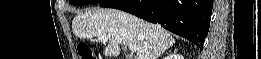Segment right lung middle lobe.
<instances>
[{"label": "right lung middle lobe", "mask_w": 261, "mask_h": 59, "mask_svg": "<svg viewBox=\"0 0 261 59\" xmlns=\"http://www.w3.org/2000/svg\"><path fill=\"white\" fill-rule=\"evenodd\" d=\"M103 0H70V3L75 5H86V4H97L101 3Z\"/></svg>", "instance_id": "right-lung-middle-lobe-1"}]
</instances>
